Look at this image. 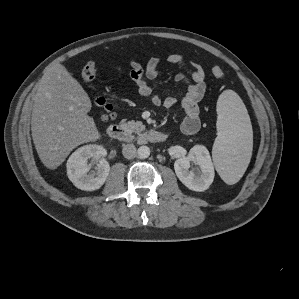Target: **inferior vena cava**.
<instances>
[{
  "mask_svg": "<svg viewBox=\"0 0 299 299\" xmlns=\"http://www.w3.org/2000/svg\"><path fill=\"white\" fill-rule=\"evenodd\" d=\"M122 153L125 158L132 159L136 156L137 150L135 145L127 144L123 146Z\"/></svg>",
  "mask_w": 299,
  "mask_h": 299,
  "instance_id": "inferior-vena-cava-1",
  "label": "inferior vena cava"
}]
</instances>
